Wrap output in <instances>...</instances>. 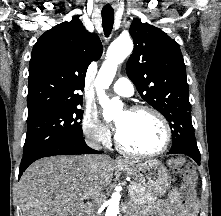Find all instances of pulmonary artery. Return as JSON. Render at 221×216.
Masks as SVG:
<instances>
[{
    "label": "pulmonary artery",
    "mask_w": 221,
    "mask_h": 216,
    "mask_svg": "<svg viewBox=\"0 0 221 216\" xmlns=\"http://www.w3.org/2000/svg\"><path fill=\"white\" fill-rule=\"evenodd\" d=\"M113 91L122 96L130 97L134 94V88L131 81L126 77H121L115 81L112 86Z\"/></svg>",
    "instance_id": "1"
}]
</instances>
